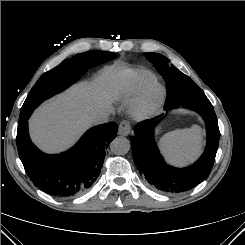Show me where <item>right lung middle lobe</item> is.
I'll use <instances>...</instances> for the list:
<instances>
[{"instance_id": "obj_1", "label": "right lung middle lobe", "mask_w": 245, "mask_h": 245, "mask_svg": "<svg viewBox=\"0 0 245 245\" xmlns=\"http://www.w3.org/2000/svg\"><path fill=\"white\" fill-rule=\"evenodd\" d=\"M92 57L106 62L116 58V54L99 50L79 53L44 73L29 92L21 108L19 122L28 119L33 110L44 100L73 84L83 74L82 65L85 60Z\"/></svg>"}]
</instances>
